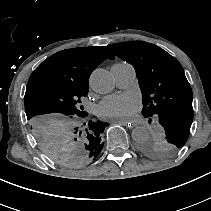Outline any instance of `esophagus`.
I'll use <instances>...</instances> for the list:
<instances>
[{
    "instance_id": "1",
    "label": "esophagus",
    "mask_w": 211,
    "mask_h": 211,
    "mask_svg": "<svg viewBox=\"0 0 211 211\" xmlns=\"http://www.w3.org/2000/svg\"><path fill=\"white\" fill-rule=\"evenodd\" d=\"M111 122L119 124V125H127L126 127L129 130L132 129L133 126H135L134 123L130 124L128 121H125V120H112Z\"/></svg>"
}]
</instances>
